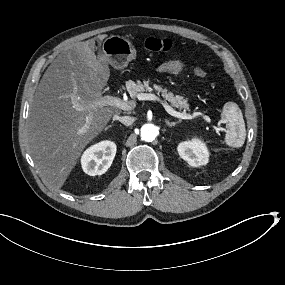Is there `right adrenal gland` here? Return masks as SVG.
<instances>
[{"mask_svg": "<svg viewBox=\"0 0 285 285\" xmlns=\"http://www.w3.org/2000/svg\"><path fill=\"white\" fill-rule=\"evenodd\" d=\"M113 126L112 125H108L107 127L104 128V131H108L109 129H111Z\"/></svg>", "mask_w": 285, "mask_h": 285, "instance_id": "obj_1", "label": "right adrenal gland"}]
</instances>
